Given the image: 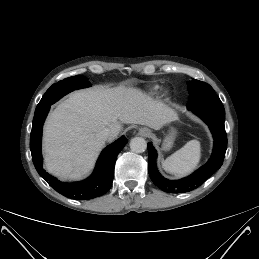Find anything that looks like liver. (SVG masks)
<instances>
[{
  "label": "liver",
  "mask_w": 259,
  "mask_h": 259,
  "mask_svg": "<svg viewBox=\"0 0 259 259\" xmlns=\"http://www.w3.org/2000/svg\"><path fill=\"white\" fill-rule=\"evenodd\" d=\"M177 114L164 103L135 88L97 87L78 91L61 102L44 127V158L48 172L60 179L87 174L105 145L97 134L111 130L114 140L125 124L160 129Z\"/></svg>",
  "instance_id": "liver-1"
}]
</instances>
